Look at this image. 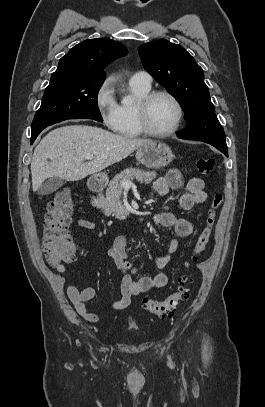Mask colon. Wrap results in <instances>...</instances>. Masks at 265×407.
I'll return each instance as SVG.
<instances>
[{
  "label": "colon",
  "mask_w": 265,
  "mask_h": 407,
  "mask_svg": "<svg viewBox=\"0 0 265 407\" xmlns=\"http://www.w3.org/2000/svg\"><path fill=\"white\" fill-rule=\"evenodd\" d=\"M215 166L212 158H198L196 168L200 174H210ZM223 202V196L220 192L215 193L210 209L208 211L204 227L200 231L198 238L193 246L190 258L185 262L184 267L188 268L191 261L197 260L201 255L212 234L216 218V211ZM73 212V197L69 189H61L56 192L54 197L48 203L44 219L43 232V251L47 262L58 267L64 263H69L75 258V247L66 232V226L70 221ZM192 278L187 273L181 274L178 280L176 290L164 300H153L145 298L143 308L157 317L171 316L182 302L189 299V285Z\"/></svg>",
  "instance_id": "5ec220e1"
}]
</instances>
